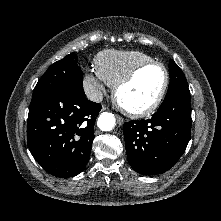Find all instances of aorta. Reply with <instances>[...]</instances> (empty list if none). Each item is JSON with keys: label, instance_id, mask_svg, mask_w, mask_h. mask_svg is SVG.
<instances>
[{"label": "aorta", "instance_id": "aorta-1", "mask_svg": "<svg viewBox=\"0 0 221 221\" xmlns=\"http://www.w3.org/2000/svg\"><path fill=\"white\" fill-rule=\"evenodd\" d=\"M115 122L116 119L114 114L110 112H103L98 118L97 125L102 131H110L114 128Z\"/></svg>", "mask_w": 221, "mask_h": 221}]
</instances>
